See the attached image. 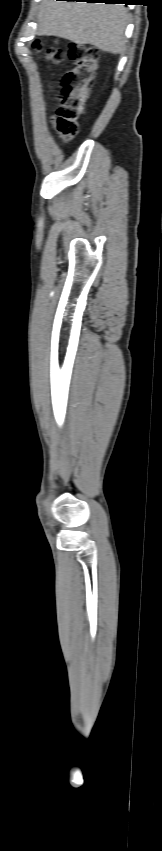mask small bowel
<instances>
[{"instance_id": "small-bowel-1", "label": "small bowel", "mask_w": 162, "mask_h": 851, "mask_svg": "<svg viewBox=\"0 0 162 851\" xmlns=\"http://www.w3.org/2000/svg\"><path fill=\"white\" fill-rule=\"evenodd\" d=\"M60 137L63 139L64 142L70 141V139L68 137H66L65 135H63L62 133H60Z\"/></svg>"}]
</instances>
